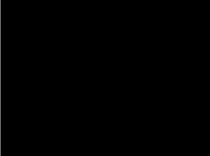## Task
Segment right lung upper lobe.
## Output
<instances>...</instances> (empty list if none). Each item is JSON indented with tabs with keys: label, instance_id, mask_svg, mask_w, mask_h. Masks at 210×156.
I'll list each match as a JSON object with an SVG mask.
<instances>
[{
	"label": "right lung upper lobe",
	"instance_id": "cb5924a9",
	"mask_svg": "<svg viewBox=\"0 0 210 156\" xmlns=\"http://www.w3.org/2000/svg\"><path fill=\"white\" fill-rule=\"evenodd\" d=\"M74 98L75 88L70 81L60 78L54 82L48 116V126L54 134H79L83 130V124L77 117Z\"/></svg>",
	"mask_w": 210,
	"mask_h": 156
}]
</instances>
